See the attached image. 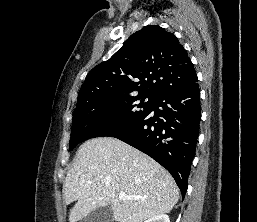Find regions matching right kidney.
Returning <instances> with one entry per match:
<instances>
[{"mask_svg": "<svg viewBox=\"0 0 257 222\" xmlns=\"http://www.w3.org/2000/svg\"><path fill=\"white\" fill-rule=\"evenodd\" d=\"M144 222H170L169 216L166 214L157 215L155 217H151Z\"/></svg>", "mask_w": 257, "mask_h": 222, "instance_id": "1", "label": "right kidney"}]
</instances>
